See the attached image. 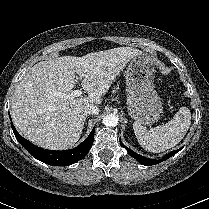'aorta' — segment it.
<instances>
[{
  "label": "aorta",
  "instance_id": "762f6f07",
  "mask_svg": "<svg viewBox=\"0 0 209 209\" xmlns=\"http://www.w3.org/2000/svg\"><path fill=\"white\" fill-rule=\"evenodd\" d=\"M119 118L116 114H107L103 117V124L107 127H115L118 124Z\"/></svg>",
  "mask_w": 209,
  "mask_h": 209
}]
</instances>
